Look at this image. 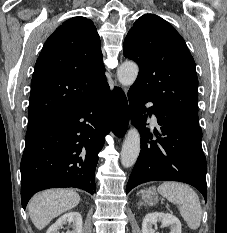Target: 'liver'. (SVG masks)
<instances>
[{
  "label": "liver",
  "instance_id": "obj_1",
  "mask_svg": "<svg viewBox=\"0 0 227 233\" xmlns=\"http://www.w3.org/2000/svg\"><path fill=\"white\" fill-rule=\"evenodd\" d=\"M80 196L68 189H51L38 193L28 204L29 215L38 230L45 228L53 218L79 204Z\"/></svg>",
  "mask_w": 227,
  "mask_h": 233
}]
</instances>
